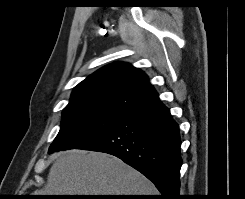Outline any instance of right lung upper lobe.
<instances>
[{
    "mask_svg": "<svg viewBox=\"0 0 245 199\" xmlns=\"http://www.w3.org/2000/svg\"><path fill=\"white\" fill-rule=\"evenodd\" d=\"M159 102L148 76L119 62L99 69L79 83L65 108L95 106L130 115Z\"/></svg>",
    "mask_w": 245,
    "mask_h": 199,
    "instance_id": "right-lung-upper-lobe-1",
    "label": "right lung upper lobe"
}]
</instances>
